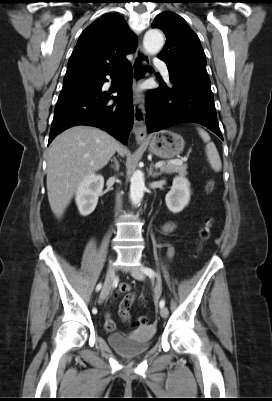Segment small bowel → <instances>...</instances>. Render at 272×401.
I'll use <instances>...</instances> for the list:
<instances>
[{
    "label": "small bowel",
    "mask_w": 272,
    "mask_h": 401,
    "mask_svg": "<svg viewBox=\"0 0 272 401\" xmlns=\"http://www.w3.org/2000/svg\"><path fill=\"white\" fill-rule=\"evenodd\" d=\"M174 228H175V223L172 221L166 222L163 226V230L165 233L172 232ZM166 247L168 256L172 257L174 254L173 247L169 243L166 244ZM129 291H130V285L128 283H122L119 286L118 290H116L111 296L112 300H115L121 294H125V296L122 298L119 304V315L125 322H128L130 319V308L136 298V295ZM105 326L109 331L113 330L115 327V323L109 312L105 314Z\"/></svg>",
    "instance_id": "c3829d8e"
}]
</instances>
